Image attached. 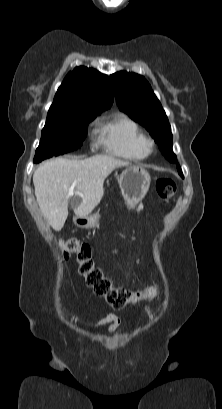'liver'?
Listing matches in <instances>:
<instances>
[{
  "label": "liver",
  "instance_id": "6515ba94",
  "mask_svg": "<svg viewBox=\"0 0 222 409\" xmlns=\"http://www.w3.org/2000/svg\"><path fill=\"white\" fill-rule=\"evenodd\" d=\"M130 166L110 155L86 159L63 157L46 161L33 174L35 196L41 212L55 231H60L68 217V200L74 195L75 214L88 215L100 203L104 180L118 167ZM76 182L73 192L69 189Z\"/></svg>",
  "mask_w": 222,
  "mask_h": 409
}]
</instances>
